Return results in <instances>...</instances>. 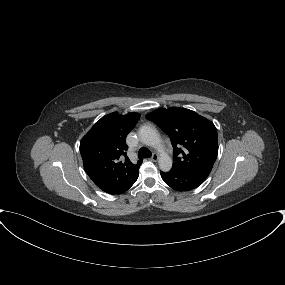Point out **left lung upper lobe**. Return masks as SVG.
<instances>
[{
    "label": "left lung upper lobe",
    "instance_id": "5c2ea615",
    "mask_svg": "<svg viewBox=\"0 0 285 285\" xmlns=\"http://www.w3.org/2000/svg\"><path fill=\"white\" fill-rule=\"evenodd\" d=\"M146 119L170 137L174 147L173 168L212 170L218 154V138L211 121L192 110L177 107L157 109Z\"/></svg>",
    "mask_w": 285,
    "mask_h": 285
}]
</instances>
